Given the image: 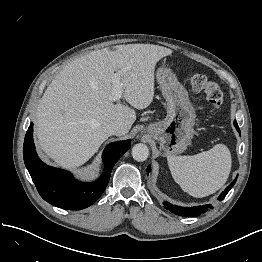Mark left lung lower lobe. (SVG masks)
Listing matches in <instances>:
<instances>
[{"label":"left lung lower lobe","mask_w":262,"mask_h":262,"mask_svg":"<svg viewBox=\"0 0 262 262\" xmlns=\"http://www.w3.org/2000/svg\"><path fill=\"white\" fill-rule=\"evenodd\" d=\"M234 126L237 129V131L240 132L239 126L236 121H234ZM150 172H151V167L148 166L147 174H149ZM235 182L236 179L220 194V196L218 197L219 200H222L227 195V193L230 191V189L235 184ZM163 204H164V208L171 211L172 213L178 216H187V217L198 216L202 213H205L211 208V205L181 207V206L173 205L167 201H164Z\"/></svg>","instance_id":"obj_1"}]
</instances>
